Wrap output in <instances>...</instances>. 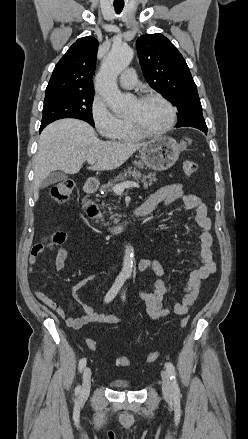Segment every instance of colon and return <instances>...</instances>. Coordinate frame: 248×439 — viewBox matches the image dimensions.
<instances>
[{"label":"colon","mask_w":248,"mask_h":439,"mask_svg":"<svg viewBox=\"0 0 248 439\" xmlns=\"http://www.w3.org/2000/svg\"><path fill=\"white\" fill-rule=\"evenodd\" d=\"M197 164L192 160H185L182 165L183 173L185 177L191 178L197 171ZM74 189V182L72 180H63L56 184L51 190V197L57 203L66 202ZM65 240V234L62 231H57L49 240L48 245H58L61 244ZM189 322V317L185 316L180 321V327L184 328L187 326ZM88 347L95 351L98 349V345L94 340L89 339L87 341ZM159 357V352L154 351L151 352L146 357L147 363H152L156 361ZM115 362L118 366L128 367L131 365V360L124 356H117L115 358Z\"/></svg>","instance_id":"obj_1"}]
</instances>
